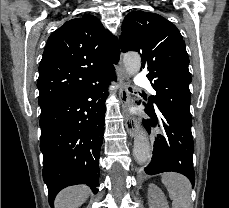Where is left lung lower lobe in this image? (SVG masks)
I'll return each mask as SVG.
<instances>
[{
    "label": "left lung lower lobe",
    "instance_id": "obj_1",
    "mask_svg": "<svg viewBox=\"0 0 229 208\" xmlns=\"http://www.w3.org/2000/svg\"><path fill=\"white\" fill-rule=\"evenodd\" d=\"M144 105L146 114L151 117L148 122L152 126L158 124L163 130V135L157 137L154 142L152 160L144 171L148 175L166 171L178 172L188 177L194 187L191 117L160 107H150L145 103ZM144 125L149 127L145 120Z\"/></svg>",
    "mask_w": 229,
    "mask_h": 208
}]
</instances>
